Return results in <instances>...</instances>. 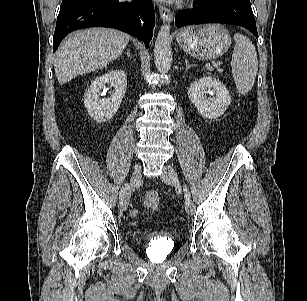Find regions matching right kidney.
Masks as SVG:
<instances>
[{
    "instance_id": "ca27d5eb",
    "label": "right kidney",
    "mask_w": 307,
    "mask_h": 301,
    "mask_svg": "<svg viewBox=\"0 0 307 301\" xmlns=\"http://www.w3.org/2000/svg\"><path fill=\"white\" fill-rule=\"evenodd\" d=\"M106 84H111L114 92L109 98H100V92ZM127 77L123 70L109 71L97 77L86 92L84 105L89 115L97 122L111 119L118 111L121 101L125 95Z\"/></svg>"
}]
</instances>
